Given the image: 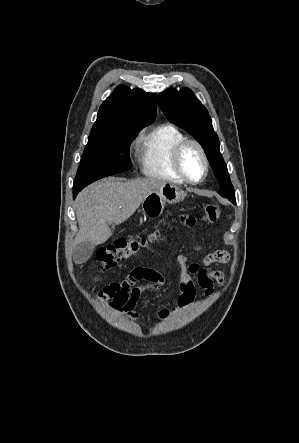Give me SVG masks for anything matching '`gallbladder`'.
I'll list each match as a JSON object with an SVG mask.
<instances>
[{"instance_id": "1", "label": "gallbladder", "mask_w": 299, "mask_h": 443, "mask_svg": "<svg viewBox=\"0 0 299 443\" xmlns=\"http://www.w3.org/2000/svg\"><path fill=\"white\" fill-rule=\"evenodd\" d=\"M95 245L86 241L79 243L75 246L73 251L74 260L77 263H83L87 261L93 254Z\"/></svg>"}]
</instances>
